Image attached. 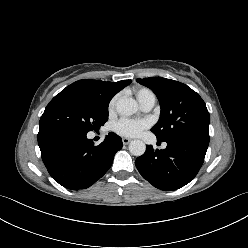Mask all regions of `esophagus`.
I'll return each instance as SVG.
<instances>
[{
    "label": "esophagus",
    "instance_id": "obj_1",
    "mask_svg": "<svg viewBox=\"0 0 248 248\" xmlns=\"http://www.w3.org/2000/svg\"><path fill=\"white\" fill-rule=\"evenodd\" d=\"M122 142H123L124 145H127V144H129L131 142V139H129V138H122Z\"/></svg>",
    "mask_w": 248,
    "mask_h": 248
}]
</instances>
